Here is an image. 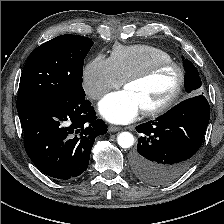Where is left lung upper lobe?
Masks as SVG:
<instances>
[{
    "label": "left lung upper lobe",
    "instance_id": "left-lung-upper-lobe-1",
    "mask_svg": "<svg viewBox=\"0 0 224 224\" xmlns=\"http://www.w3.org/2000/svg\"><path fill=\"white\" fill-rule=\"evenodd\" d=\"M185 68V90L190 96H195L201 93V79L198 70L189 60H183Z\"/></svg>",
    "mask_w": 224,
    "mask_h": 224
}]
</instances>
